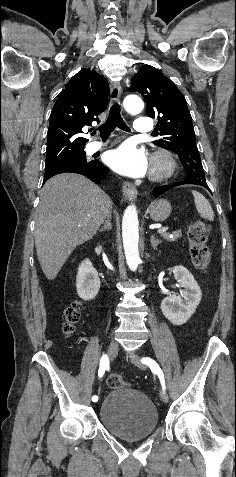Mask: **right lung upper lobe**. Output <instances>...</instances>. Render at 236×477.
<instances>
[{"label": "right lung upper lobe", "mask_w": 236, "mask_h": 477, "mask_svg": "<svg viewBox=\"0 0 236 477\" xmlns=\"http://www.w3.org/2000/svg\"><path fill=\"white\" fill-rule=\"evenodd\" d=\"M108 82L95 71L80 70L59 95L50 115L46 164L82 152L87 139L82 128L98 120L107 107Z\"/></svg>", "instance_id": "cb5924a9"}]
</instances>
